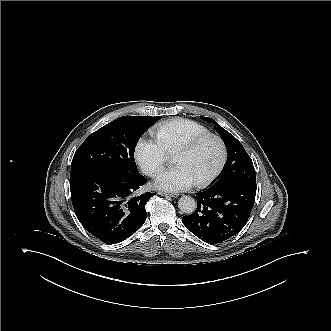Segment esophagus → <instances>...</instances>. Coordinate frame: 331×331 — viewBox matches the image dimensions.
Instances as JSON below:
<instances>
[{"label": "esophagus", "instance_id": "34e87169", "mask_svg": "<svg viewBox=\"0 0 331 331\" xmlns=\"http://www.w3.org/2000/svg\"><path fill=\"white\" fill-rule=\"evenodd\" d=\"M161 195H163V196H170V197L176 198L180 194L177 193V192H161Z\"/></svg>", "mask_w": 331, "mask_h": 331}]
</instances>
